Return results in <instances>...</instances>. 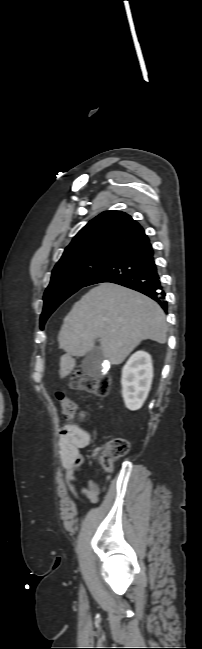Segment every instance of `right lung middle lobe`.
Instances as JSON below:
<instances>
[{"mask_svg":"<svg viewBox=\"0 0 202 649\" xmlns=\"http://www.w3.org/2000/svg\"><path fill=\"white\" fill-rule=\"evenodd\" d=\"M114 255L111 252L92 251L59 260L44 293V307L40 318L41 329L54 310L69 296L84 287L92 275Z\"/></svg>","mask_w":202,"mask_h":649,"instance_id":"right-lung-middle-lobe-1","label":"right lung middle lobe"}]
</instances>
